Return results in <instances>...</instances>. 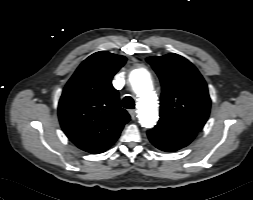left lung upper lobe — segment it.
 <instances>
[{"label":"left lung upper lobe","instance_id":"left-lung-upper-lobe-1","mask_svg":"<svg viewBox=\"0 0 253 200\" xmlns=\"http://www.w3.org/2000/svg\"><path fill=\"white\" fill-rule=\"evenodd\" d=\"M146 60L162 85L158 123L198 133L209 117L211 101L197 68L174 53Z\"/></svg>","mask_w":253,"mask_h":200}]
</instances>
